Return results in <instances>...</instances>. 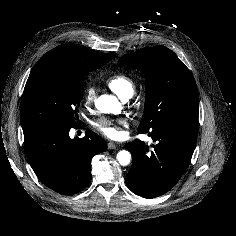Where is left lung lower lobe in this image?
<instances>
[{
  "instance_id": "0a47b994",
  "label": "left lung lower lobe",
  "mask_w": 236,
  "mask_h": 236,
  "mask_svg": "<svg viewBox=\"0 0 236 236\" xmlns=\"http://www.w3.org/2000/svg\"><path fill=\"white\" fill-rule=\"evenodd\" d=\"M197 123L169 121L147 133L154 142L153 149L139 139L125 147L133 160L127 174L129 189L144 198H155L173 188L190 164L197 137Z\"/></svg>"
}]
</instances>
